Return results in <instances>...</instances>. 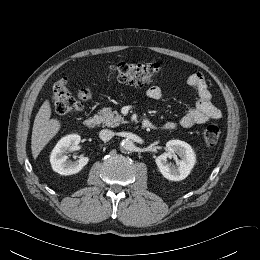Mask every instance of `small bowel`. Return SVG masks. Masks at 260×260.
<instances>
[{"label":"small bowel","mask_w":260,"mask_h":260,"mask_svg":"<svg viewBox=\"0 0 260 260\" xmlns=\"http://www.w3.org/2000/svg\"><path fill=\"white\" fill-rule=\"evenodd\" d=\"M187 85L198 93L196 105L189 108L178 122L169 121L165 123L163 129L173 130L178 126L191 128L194 125L203 124L209 120H218L222 118L221 110L214 106L211 101V95L202 73H192L187 78ZM147 96L152 100H159L163 97V90L159 86H151L147 90Z\"/></svg>","instance_id":"obj_1"}]
</instances>
